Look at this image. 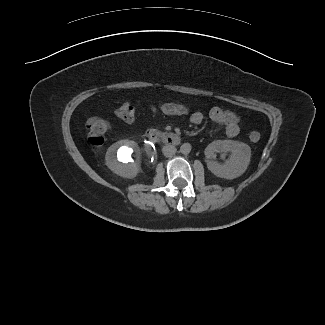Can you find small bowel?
<instances>
[{
	"mask_svg": "<svg viewBox=\"0 0 325 325\" xmlns=\"http://www.w3.org/2000/svg\"><path fill=\"white\" fill-rule=\"evenodd\" d=\"M209 117L213 123L225 128V133L228 137H235L240 131L239 117L231 111L213 107L209 111ZM190 122L194 125H200L204 121V114L197 110L194 117H189Z\"/></svg>",
	"mask_w": 325,
	"mask_h": 325,
	"instance_id": "c3829d8e",
	"label": "small bowel"
}]
</instances>
